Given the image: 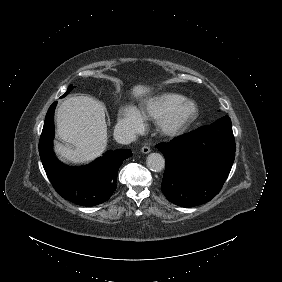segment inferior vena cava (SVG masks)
Masks as SVG:
<instances>
[{"label": "inferior vena cava", "instance_id": "602c4592", "mask_svg": "<svg viewBox=\"0 0 282 282\" xmlns=\"http://www.w3.org/2000/svg\"><path fill=\"white\" fill-rule=\"evenodd\" d=\"M114 139L120 144H130L136 137L129 127L122 123H117L114 129Z\"/></svg>", "mask_w": 282, "mask_h": 282}]
</instances>
